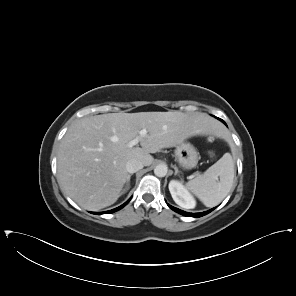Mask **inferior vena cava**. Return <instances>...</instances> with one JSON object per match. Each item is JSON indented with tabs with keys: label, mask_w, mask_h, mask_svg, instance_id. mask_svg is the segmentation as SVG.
Segmentation results:
<instances>
[{
	"label": "inferior vena cava",
	"mask_w": 296,
	"mask_h": 296,
	"mask_svg": "<svg viewBox=\"0 0 296 296\" xmlns=\"http://www.w3.org/2000/svg\"><path fill=\"white\" fill-rule=\"evenodd\" d=\"M144 167L143 163L137 159H131L126 164V170L129 173H135Z\"/></svg>",
	"instance_id": "obj_1"
}]
</instances>
